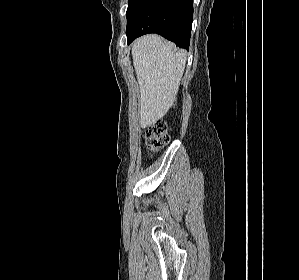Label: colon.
Segmentation results:
<instances>
[{"label":"colon","mask_w":299,"mask_h":280,"mask_svg":"<svg viewBox=\"0 0 299 280\" xmlns=\"http://www.w3.org/2000/svg\"><path fill=\"white\" fill-rule=\"evenodd\" d=\"M169 142L166 124L163 121H157L145 133V146L151 152L155 153L166 146Z\"/></svg>","instance_id":"obj_1"}]
</instances>
